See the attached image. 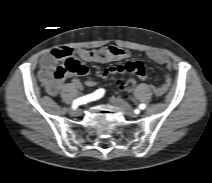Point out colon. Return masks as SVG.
Returning <instances> with one entry per match:
<instances>
[{"instance_id":"5ec220e1","label":"colon","mask_w":212,"mask_h":183,"mask_svg":"<svg viewBox=\"0 0 212 183\" xmlns=\"http://www.w3.org/2000/svg\"><path fill=\"white\" fill-rule=\"evenodd\" d=\"M56 56L59 59H63L64 61L55 67L53 70V78L56 81H61L64 77H66L69 74H76V75H84L87 72V69L84 65H82L79 61L66 56V53L63 51H56ZM136 85V81L134 79H129L125 84H124V89L127 92L133 91L134 87Z\"/></svg>"}]
</instances>
